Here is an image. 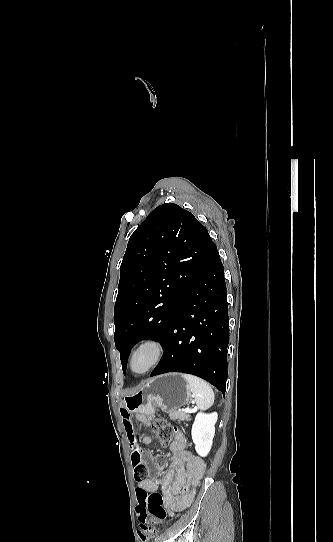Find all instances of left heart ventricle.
<instances>
[{
  "instance_id": "left-heart-ventricle-1",
  "label": "left heart ventricle",
  "mask_w": 333,
  "mask_h": 542,
  "mask_svg": "<svg viewBox=\"0 0 333 542\" xmlns=\"http://www.w3.org/2000/svg\"><path fill=\"white\" fill-rule=\"evenodd\" d=\"M147 361H148V355L147 354L141 355L136 363L137 368H142L147 363Z\"/></svg>"
}]
</instances>
